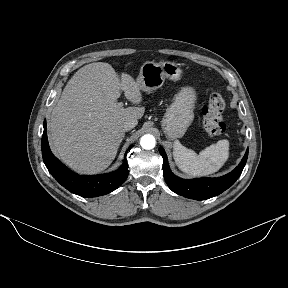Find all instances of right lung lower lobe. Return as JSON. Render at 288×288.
Here are the masks:
<instances>
[{"label": "right lung lower lobe", "instance_id": "right-lung-lower-lobe-1", "mask_svg": "<svg viewBox=\"0 0 288 288\" xmlns=\"http://www.w3.org/2000/svg\"><path fill=\"white\" fill-rule=\"evenodd\" d=\"M46 129V121H44V132L41 141L43 161L51 175L70 192L82 197H97L114 191L127 179L129 170L126 158L122 166L112 173L79 175L70 171L52 154Z\"/></svg>", "mask_w": 288, "mask_h": 288}]
</instances>
